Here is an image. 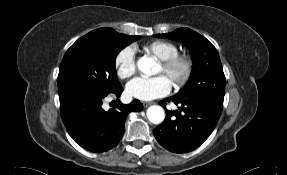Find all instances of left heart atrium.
Here are the masks:
<instances>
[{"mask_svg":"<svg viewBox=\"0 0 287 175\" xmlns=\"http://www.w3.org/2000/svg\"><path fill=\"white\" fill-rule=\"evenodd\" d=\"M171 91V82L165 75L145 78L137 77L127 85V92L130 96L148 101L167 95Z\"/></svg>","mask_w":287,"mask_h":175,"instance_id":"left-heart-atrium-1","label":"left heart atrium"}]
</instances>
